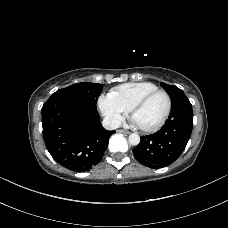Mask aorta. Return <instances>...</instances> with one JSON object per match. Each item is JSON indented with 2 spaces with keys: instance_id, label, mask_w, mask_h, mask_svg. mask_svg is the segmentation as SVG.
Listing matches in <instances>:
<instances>
[{
  "instance_id": "1",
  "label": "aorta",
  "mask_w": 228,
  "mask_h": 228,
  "mask_svg": "<svg viewBox=\"0 0 228 228\" xmlns=\"http://www.w3.org/2000/svg\"><path fill=\"white\" fill-rule=\"evenodd\" d=\"M128 141L131 145H138L140 143V136L136 133H132L129 135Z\"/></svg>"
}]
</instances>
